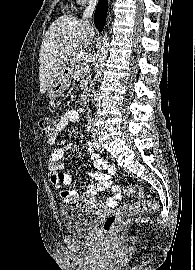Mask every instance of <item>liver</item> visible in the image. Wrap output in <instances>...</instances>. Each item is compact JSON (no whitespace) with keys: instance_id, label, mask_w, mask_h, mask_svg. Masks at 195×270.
Returning <instances> with one entry per match:
<instances>
[{"instance_id":"1","label":"liver","mask_w":195,"mask_h":270,"mask_svg":"<svg viewBox=\"0 0 195 270\" xmlns=\"http://www.w3.org/2000/svg\"><path fill=\"white\" fill-rule=\"evenodd\" d=\"M94 28L71 15L60 16L48 28L39 54L40 92L45 93L66 69L73 52L87 48Z\"/></svg>"}]
</instances>
